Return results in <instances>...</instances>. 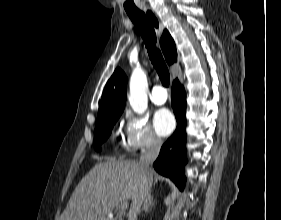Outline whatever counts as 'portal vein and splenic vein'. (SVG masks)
<instances>
[{
	"label": "portal vein and splenic vein",
	"instance_id": "18ae733b",
	"mask_svg": "<svg viewBox=\"0 0 281 220\" xmlns=\"http://www.w3.org/2000/svg\"><path fill=\"white\" fill-rule=\"evenodd\" d=\"M127 206H128V202L125 201V202L121 203L120 208H121L122 210H124V209L127 208Z\"/></svg>",
	"mask_w": 281,
	"mask_h": 220
}]
</instances>
